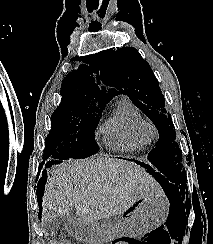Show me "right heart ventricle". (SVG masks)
<instances>
[{"mask_svg":"<svg viewBox=\"0 0 213 244\" xmlns=\"http://www.w3.org/2000/svg\"><path fill=\"white\" fill-rule=\"evenodd\" d=\"M145 122L140 110L128 98L121 97L97 133L104 146L112 151H144L152 141L142 132Z\"/></svg>","mask_w":213,"mask_h":244,"instance_id":"obj_1","label":"right heart ventricle"}]
</instances>
